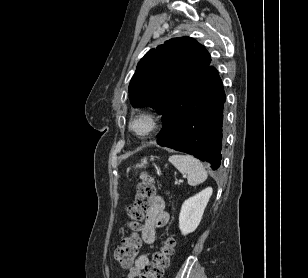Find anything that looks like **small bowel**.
I'll return each instance as SVG.
<instances>
[{"instance_id": "1", "label": "small bowel", "mask_w": 308, "mask_h": 278, "mask_svg": "<svg viewBox=\"0 0 308 278\" xmlns=\"http://www.w3.org/2000/svg\"><path fill=\"white\" fill-rule=\"evenodd\" d=\"M166 202L162 196L154 197L152 207L146 213L141 232V239L145 244H152L156 239V229L166 226L169 222ZM149 263L148 254L138 256L130 268L128 278H135Z\"/></svg>"}]
</instances>
